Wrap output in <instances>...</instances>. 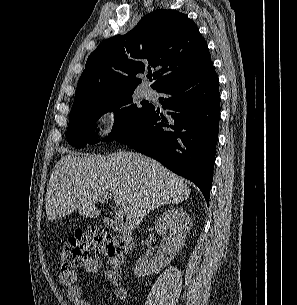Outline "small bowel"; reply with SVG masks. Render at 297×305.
<instances>
[{"mask_svg":"<svg viewBox=\"0 0 297 305\" xmlns=\"http://www.w3.org/2000/svg\"><path fill=\"white\" fill-rule=\"evenodd\" d=\"M103 269V262L99 257L89 258L84 270L87 274H96ZM105 276L108 281L114 286L113 294L117 300L123 301L127 298V291L122 284V276L120 273L107 269ZM60 284L66 289V294L72 305H90L89 300L84 296L81 288L78 275L74 271H62L58 275Z\"/></svg>","mask_w":297,"mask_h":305,"instance_id":"small-bowel-1","label":"small bowel"}]
</instances>
